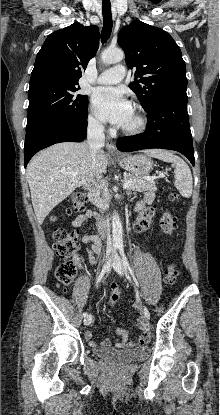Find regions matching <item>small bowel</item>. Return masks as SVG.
Instances as JSON below:
<instances>
[{
    "label": "small bowel",
    "instance_id": "1",
    "mask_svg": "<svg viewBox=\"0 0 220 415\" xmlns=\"http://www.w3.org/2000/svg\"><path fill=\"white\" fill-rule=\"evenodd\" d=\"M154 195L152 193L147 194L143 200H141L136 205L137 211H142L145 206L151 204L153 202ZM92 217L97 218V214L92 210H86L82 214L78 215L74 221L72 222V227L75 232L78 233V229L82 227L86 222H88ZM152 216H145L144 214H141L137 221L134 224V230L137 233L143 232L144 230L148 229L151 224ZM82 242L87 246L86 252L88 256V260L91 264H95L97 262L98 256L102 252V242L97 233L90 234V235H84L82 237ZM113 292H117L120 294V285L119 283H114L112 285ZM139 327L143 331L142 335L144 333H148V328L144 322V320H139ZM114 333L119 336V341L116 342L115 347L118 349L123 348H136L141 345H144L149 339L144 340L142 338V335L137 341H130L129 340V334L127 331L121 328L115 329ZM84 336L86 340L89 341V345L91 347L97 348L99 346L108 348L111 346V342L109 340H105L102 344H98L97 342L93 341V333L89 330L85 331Z\"/></svg>",
    "mask_w": 220,
    "mask_h": 415
}]
</instances>
